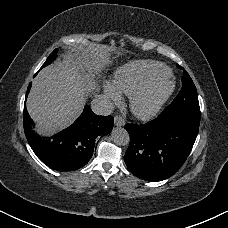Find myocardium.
<instances>
[{"instance_id": "myocardium-1", "label": "myocardium", "mask_w": 228, "mask_h": 228, "mask_svg": "<svg viewBox=\"0 0 228 228\" xmlns=\"http://www.w3.org/2000/svg\"><path fill=\"white\" fill-rule=\"evenodd\" d=\"M157 87H162L160 94L148 101L153 91ZM171 92V84L168 81H158L151 83L133 95L131 99V110L140 119H151L159 110L161 105L167 100Z\"/></svg>"}]
</instances>
